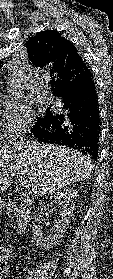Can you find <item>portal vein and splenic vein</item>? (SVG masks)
<instances>
[{
  "label": "portal vein and splenic vein",
  "instance_id": "1",
  "mask_svg": "<svg viewBox=\"0 0 113 279\" xmlns=\"http://www.w3.org/2000/svg\"><path fill=\"white\" fill-rule=\"evenodd\" d=\"M12 177H17L18 182L22 188H28L30 186L29 182L24 178H20L15 172H11Z\"/></svg>",
  "mask_w": 113,
  "mask_h": 279
}]
</instances>
